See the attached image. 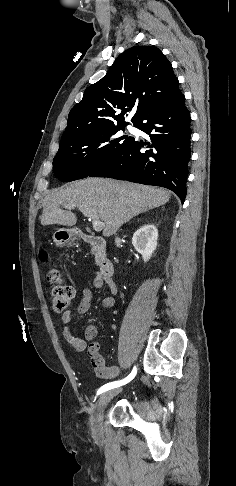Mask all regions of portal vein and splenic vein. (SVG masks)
I'll list each match as a JSON object with an SVG mask.
<instances>
[{
    "label": "portal vein and splenic vein",
    "mask_w": 236,
    "mask_h": 486,
    "mask_svg": "<svg viewBox=\"0 0 236 486\" xmlns=\"http://www.w3.org/2000/svg\"><path fill=\"white\" fill-rule=\"evenodd\" d=\"M65 208L71 209V206H65ZM81 212L85 217L90 218L92 220L93 229L95 231H101L104 228L105 224L104 222L100 221L99 216L95 211V209H89V208L81 209Z\"/></svg>",
    "instance_id": "portal-vein-and-splenic-vein-1"
}]
</instances>
